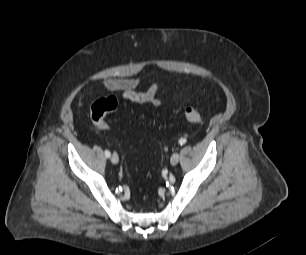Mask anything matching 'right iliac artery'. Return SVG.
Segmentation results:
<instances>
[{"instance_id":"82829eb1","label":"right iliac artery","mask_w":306,"mask_h":255,"mask_svg":"<svg viewBox=\"0 0 306 255\" xmlns=\"http://www.w3.org/2000/svg\"><path fill=\"white\" fill-rule=\"evenodd\" d=\"M105 156L107 157V158H109L110 156H111V153L108 151V150H105Z\"/></svg>"}]
</instances>
